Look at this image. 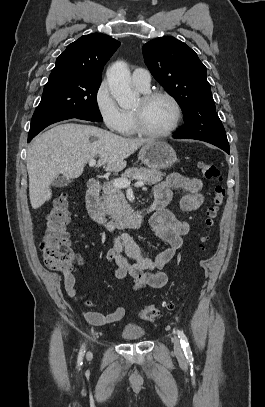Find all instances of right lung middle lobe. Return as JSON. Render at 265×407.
Segmentation results:
<instances>
[{
    "instance_id": "1",
    "label": "right lung middle lobe",
    "mask_w": 265,
    "mask_h": 407,
    "mask_svg": "<svg viewBox=\"0 0 265 407\" xmlns=\"http://www.w3.org/2000/svg\"><path fill=\"white\" fill-rule=\"evenodd\" d=\"M101 80L67 74L50 76L42 99L35 110L28 136H36L52 123L70 118H88L101 122L96 96Z\"/></svg>"
}]
</instances>
